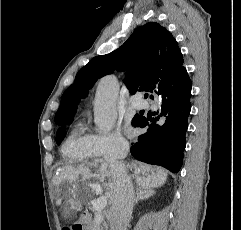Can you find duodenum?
I'll list each match as a JSON object with an SVG mask.
<instances>
[{"label":"duodenum","mask_w":241,"mask_h":230,"mask_svg":"<svg viewBox=\"0 0 241 230\" xmlns=\"http://www.w3.org/2000/svg\"><path fill=\"white\" fill-rule=\"evenodd\" d=\"M87 218H88V216H87V215H84V216H83V219H87Z\"/></svg>","instance_id":"duodenum-1"}]
</instances>
